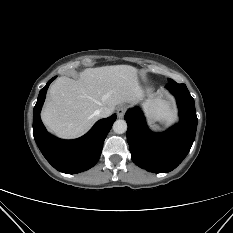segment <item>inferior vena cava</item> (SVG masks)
Returning a JSON list of instances; mask_svg holds the SVG:
<instances>
[{"label":"inferior vena cava","instance_id":"obj_1","mask_svg":"<svg viewBox=\"0 0 233 233\" xmlns=\"http://www.w3.org/2000/svg\"><path fill=\"white\" fill-rule=\"evenodd\" d=\"M111 113H112V111L107 107L100 108V109L95 111V115L98 116L99 118L109 117L111 115Z\"/></svg>","mask_w":233,"mask_h":233}]
</instances>
